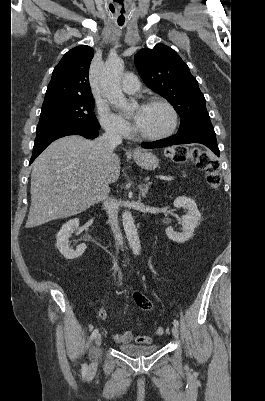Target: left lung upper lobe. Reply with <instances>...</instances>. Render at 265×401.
I'll return each mask as SVG.
<instances>
[{"label":"left lung upper lobe","instance_id":"left-lung-upper-lobe-1","mask_svg":"<svg viewBox=\"0 0 265 401\" xmlns=\"http://www.w3.org/2000/svg\"><path fill=\"white\" fill-rule=\"evenodd\" d=\"M134 62L144 83L166 98L180 115L179 130L210 121L197 80L173 49L164 44L141 49Z\"/></svg>","mask_w":265,"mask_h":401}]
</instances>
